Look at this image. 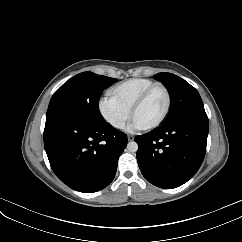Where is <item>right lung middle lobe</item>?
Here are the masks:
<instances>
[{"label":"right lung middle lobe","instance_id":"obj_1","mask_svg":"<svg viewBox=\"0 0 242 242\" xmlns=\"http://www.w3.org/2000/svg\"><path fill=\"white\" fill-rule=\"evenodd\" d=\"M116 81V78L92 72L77 74L65 82L52 96L46 121L73 117L92 122H105L99 111V98L102 91Z\"/></svg>","mask_w":242,"mask_h":242}]
</instances>
